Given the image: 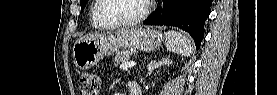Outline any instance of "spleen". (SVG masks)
<instances>
[{
  "instance_id": "obj_1",
  "label": "spleen",
  "mask_w": 277,
  "mask_h": 95,
  "mask_svg": "<svg viewBox=\"0 0 277 95\" xmlns=\"http://www.w3.org/2000/svg\"><path fill=\"white\" fill-rule=\"evenodd\" d=\"M166 47L169 51L183 56H188L193 51L189 38L173 30L166 33Z\"/></svg>"
}]
</instances>
